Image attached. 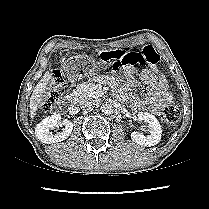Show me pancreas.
Returning a JSON list of instances; mask_svg holds the SVG:
<instances>
[{"label": "pancreas", "mask_w": 209, "mask_h": 209, "mask_svg": "<svg viewBox=\"0 0 209 209\" xmlns=\"http://www.w3.org/2000/svg\"><path fill=\"white\" fill-rule=\"evenodd\" d=\"M74 95L79 99L85 97L98 98L102 95V91L97 90L94 83L87 82L83 83L77 90H75Z\"/></svg>", "instance_id": "pancreas-1"}]
</instances>
